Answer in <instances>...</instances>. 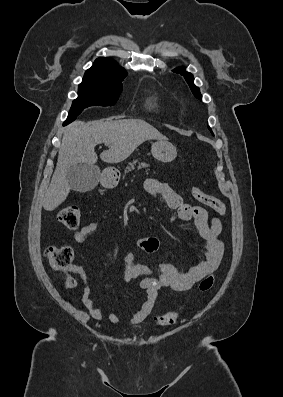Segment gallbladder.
Returning <instances> with one entry per match:
<instances>
[{
    "label": "gallbladder",
    "mask_w": 283,
    "mask_h": 397,
    "mask_svg": "<svg viewBox=\"0 0 283 397\" xmlns=\"http://www.w3.org/2000/svg\"><path fill=\"white\" fill-rule=\"evenodd\" d=\"M66 178L72 190L88 192L98 184L99 169L94 165H73L67 172Z\"/></svg>",
    "instance_id": "bac80fb5"
}]
</instances>
